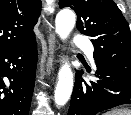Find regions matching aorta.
I'll list each match as a JSON object with an SVG mask.
<instances>
[{"instance_id": "aorta-1", "label": "aorta", "mask_w": 131, "mask_h": 115, "mask_svg": "<svg viewBox=\"0 0 131 115\" xmlns=\"http://www.w3.org/2000/svg\"><path fill=\"white\" fill-rule=\"evenodd\" d=\"M76 22L75 14L69 9L61 10L55 19L56 33L62 40L67 39L74 28ZM73 73L70 66L65 63L61 66L58 73V82L55 89V104L57 106L65 105L72 93Z\"/></svg>"}]
</instances>
